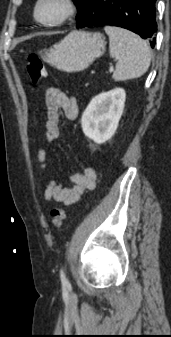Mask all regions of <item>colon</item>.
<instances>
[{"instance_id":"1","label":"colon","mask_w":171,"mask_h":337,"mask_svg":"<svg viewBox=\"0 0 171 337\" xmlns=\"http://www.w3.org/2000/svg\"><path fill=\"white\" fill-rule=\"evenodd\" d=\"M26 69L33 83H38L47 75L46 68L41 59L36 55H30L26 59ZM66 217L63 208H55L51 212V223L55 228H59Z\"/></svg>"}]
</instances>
